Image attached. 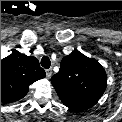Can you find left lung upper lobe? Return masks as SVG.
Segmentation results:
<instances>
[{"label":"left lung upper lobe","mask_w":122,"mask_h":122,"mask_svg":"<svg viewBox=\"0 0 122 122\" xmlns=\"http://www.w3.org/2000/svg\"><path fill=\"white\" fill-rule=\"evenodd\" d=\"M51 82L62 103L80 112L97 103L106 89L107 76L98 61L75 50L62 59Z\"/></svg>","instance_id":"5c2ea615"}]
</instances>
